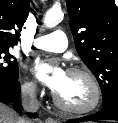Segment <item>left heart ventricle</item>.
<instances>
[{"label":"left heart ventricle","instance_id":"b2bd125f","mask_svg":"<svg viewBox=\"0 0 118 123\" xmlns=\"http://www.w3.org/2000/svg\"><path fill=\"white\" fill-rule=\"evenodd\" d=\"M56 94L65 104L75 107L84 106L92 99V89L87 80L70 73H67L65 83Z\"/></svg>","mask_w":118,"mask_h":123}]
</instances>
